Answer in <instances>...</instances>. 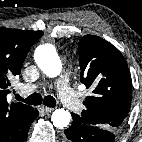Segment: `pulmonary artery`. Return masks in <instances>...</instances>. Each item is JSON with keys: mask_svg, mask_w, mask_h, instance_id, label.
Returning a JSON list of instances; mask_svg holds the SVG:
<instances>
[{"mask_svg": "<svg viewBox=\"0 0 142 142\" xmlns=\"http://www.w3.org/2000/svg\"><path fill=\"white\" fill-rule=\"evenodd\" d=\"M58 92L62 102L67 106L70 111H77L81 108V101L77 98L74 91L70 88L69 79L67 75L62 76L58 83ZM35 89V86H23V92H30Z\"/></svg>", "mask_w": 142, "mask_h": 142, "instance_id": "e3ab8cb5", "label": "pulmonary artery"}]
</instances>
